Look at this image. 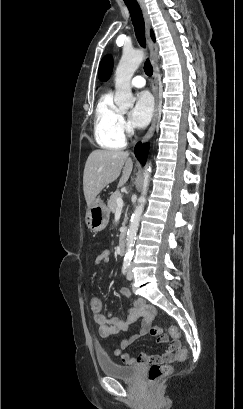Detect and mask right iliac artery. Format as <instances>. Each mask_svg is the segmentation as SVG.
Wrapping results in <instances>:
<instances>
[{
  "instance_id": "82829eb1",
  "label": "right iliac artery",
  "mask_w": 243,
  "mask_h": 409,
  "mask_svg": "<svg viewBox=\"0 0 243 409\" xmlns=\"http://www.w3.org/2000/svg\"><path fill=\"white\" fill-rule=\"evenodd\" d=\"M131 260L130 259H124L123 265H122V272L123 274H126L128 267L130 266Z\"/></svg>"
}]
</instances>
